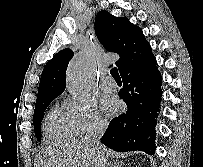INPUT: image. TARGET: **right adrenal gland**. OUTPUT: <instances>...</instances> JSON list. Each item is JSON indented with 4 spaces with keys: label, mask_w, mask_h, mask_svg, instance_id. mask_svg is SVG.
Here are the masks:
<instances>
[{
    "label": "right adrenal gland",
    "mask_w": 203,
    "mask_h": 167,
    "mask_svg": "<svg viewBox=\"0 0 203 167\" xmlns=\"http://www.w3.org/2000/svg\"><path fill=\"white\" fill-rule=\"evenodd\" d=\"M109 167H122V163H114V165H111Z\"/></svg>",
    "instance_id": "obj_1"
}]
</instances>
